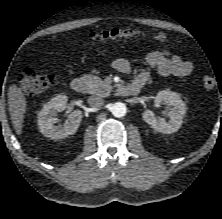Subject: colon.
<instances>
[{
	"label": "colon",
	"mask_w": 222,
	"mask_h": 219,
	"mask_svg": "<svg viewBox=\"0 0 222 219\" xmlns=\"http://www.w3.org/2000/svg\"><path fill=\"white\" fill-rule=\"evenodd\" d=\"M144 34L133 29H109L100 32H91L86 37L93 43H104L117 40H134L143 37ZM154 40L158 44H167L170 39L167 35L160 33L154 36ZM21 89L31 95L39 94L49 88L55 81V76L50 74H39L33 70L25 69L18 77ZM216 79L212 76L203 78V87L207 90L216 86Z\"/></svg>",
	"instance_id": "obj_1"
}]
</instances>
